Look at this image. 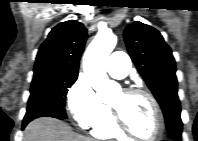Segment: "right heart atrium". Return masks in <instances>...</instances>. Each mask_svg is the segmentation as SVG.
<instances>
[{
  "mask_svg": "<svg viewBox=\"0 0 198 141\" xmlns=\"http://www.w3.org/2000/svg\"><path fill=\"white\" fill-rule=\"evenodd\" d=\"M66 109L79 127L92 128L105 117L108 107L97 98L91 85L79 77L67 92Z\"/></svg>",
  "mask_w": 198,
  "mask_h": 141,
  "instance_id": "d8ad5b80",
  "label": "right heart atrium"
}]
</instances>
